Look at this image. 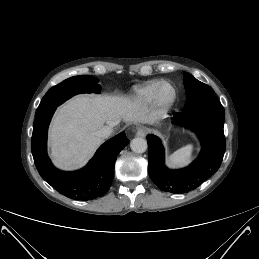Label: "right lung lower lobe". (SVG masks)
<instances>
[{
    "mask_svg": "<svg viewBox=\"0 0 259 259\" xmlns=\"http://www.w3.org/2000/svg\"><path fill=\"white\" fill-rule=\"evenodd\" d=\"M56 108L35 115L31 150L41 177L60 194L75 200H92L103 196L111 186L119 152L129 143L124 132L104 143L88 165L76 172L56 169L47 156V129Z\"/></svg>",
    "mask_w": 259,
    "mask_h": 259,
    "instance_id": "right-lung-lower-lobe-1",
    "label": "right lung lower lobe"
}]
</instances>
